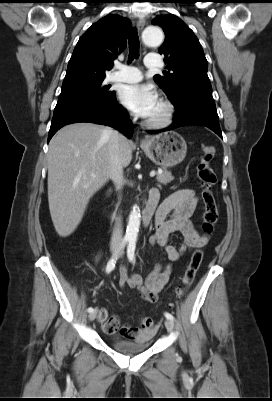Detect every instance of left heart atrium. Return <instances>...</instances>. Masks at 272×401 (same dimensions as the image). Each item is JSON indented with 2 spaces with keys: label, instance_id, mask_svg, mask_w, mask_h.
Listing matches in <instances>:
<instances>
[{
  "label": "left heart atrium",
  "instance_id": "39dd6f15",
  "mask_svg": "<svg viewBox=\"0 0 272 401\" xmlns=\"http://www.w3.org/2000/svg\"><path fill=\"white\" fill-rule=\"evenodd\" d=\"M120 102L135 115L149 118L159 101L156 90L149 84H130L119 91Z\"/></svg>",
  "mask_w": 272,
  "mask_h": 401
}]
</instances>
